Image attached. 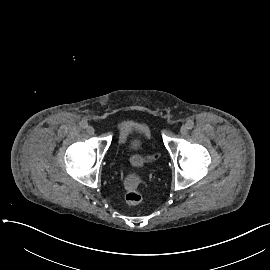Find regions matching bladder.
<instances>
[{"label": "bladder", "mask_w": 270, "mask_h": 270, "mask_svg": "<svg viewBox=\"0 0 270 270\" xmlns=\"http://www.w3.org/2000/svg\"><path fill=\"white\" fill-rule=\"evenodd\" d=\"M150 155H138L135 159L131 158L132 165L136 168H142L148 165Z\"/></svg>", "instance_id": "bladder-1"}]
</instances>
